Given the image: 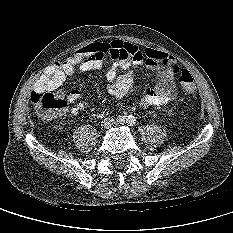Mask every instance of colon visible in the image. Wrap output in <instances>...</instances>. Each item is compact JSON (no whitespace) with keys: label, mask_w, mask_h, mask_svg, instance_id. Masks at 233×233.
<instances>
[{"label":"colon","mask_w":233,"mask_h":233,"mask_svg":"<svg viewBox=\"0 0 233 233\" xmlns=\"http://www.w3.org/2000/svg\"><path fill=\"white\" fill-rule=\"evenodd\" d=\"M178 81L184 92L191 94L195 91V83L188 70H182ZM31 100L39 114L45 118L57 117L62 114L67 107V100L65 97L44 90L33 91Z\"/></svg>","instance_id":"colon-1"}]
</instances>
